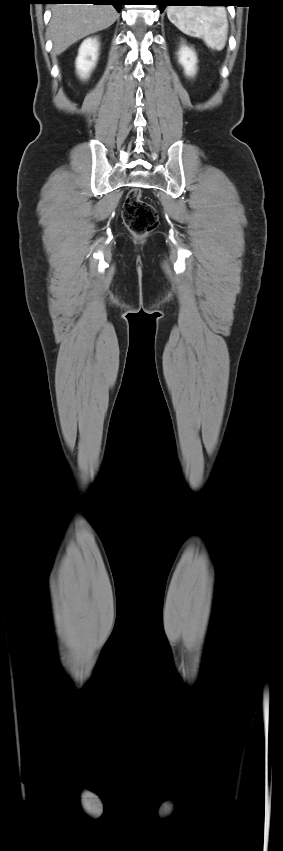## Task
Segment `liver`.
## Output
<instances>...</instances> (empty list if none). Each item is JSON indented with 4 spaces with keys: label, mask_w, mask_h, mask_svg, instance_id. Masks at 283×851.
<instances>
[{
    "label": "liver",
    "mask_w": 283,
    "mask_h": 851,
    "mask_svg": "<svg viewBox=\"0 0 283 851\" xmlns=\"http://www.w3.org/2000/svg\"><path fill=\"white\" fill-rule=\"evenodd\" d=\"M49 34L53 54L59 55L84 37L110 27L118 18L111 5H53Z\"/></svg>",
    "instance_id": "obj_1"
}]
</instances>
